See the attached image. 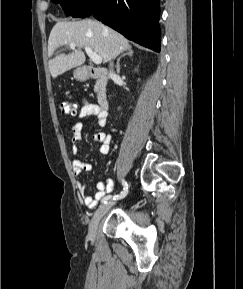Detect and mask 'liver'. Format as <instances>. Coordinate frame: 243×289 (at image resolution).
<instances>
[{
    "label": "liver",
    "mask_w": 243,
    "mask_h": 289,
    "mask_svg": "<svg viewBox=\"0 0 243 289\" xmlns=\"http://www.w3.org/2000/svg\"><path fill=\"white\" fill-rule=\"evenodd\" d=\"M70 43L76 44L71 53H60L49 60V70L53 78L85 63L83 47H90L102 57L104 63L131 48L123 35L93 19L57 22L48 40L49 57H52L59 47L68 46Z\"/></svg>",
    "instance_id": "1"
}]
</instances>
